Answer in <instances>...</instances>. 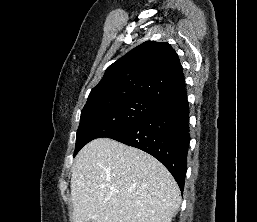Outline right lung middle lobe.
Segmentation results:
<instances>
[{
    "instance_id": "right-lung-middle-lobe-1",
    "label": "right lung middle lobe",
    "mask_w": 257,
    "mask_h": 222,
    "mask_svg": "<svg viewBox=\"0 0 257 222\" xmlns=\"http://www.w3.org/2000/svg\"><path fill=\"white\" fill-rule=\"evenodd\" d=\"M158 105V102L143 97L88 101L81 111L74 156L91 140L110 137L126 129L149 114Z\"/></svg>"
}]
</instances>
